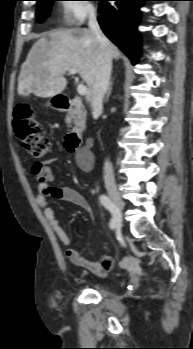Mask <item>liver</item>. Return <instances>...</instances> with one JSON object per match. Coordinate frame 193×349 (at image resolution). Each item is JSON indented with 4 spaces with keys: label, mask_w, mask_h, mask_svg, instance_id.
<instances>
[{
    "label": "liver",
    "mask_w": 193,
    "mask_h": 349,
    "mask_svg": "<svg viewBox=\"0 0 193 349\" xmlns=\"http://www.w3.org/2000/svg\"><path fill=\"white\" fill-rule=\"evenodd\" d=\"M99 48L93 32L85 28L46 32L33 44L21 66L18 94L54 97L67 85L65 73L76 69L88 86L87 100H91ZM110 49L112 58L117 59L118 48L110 42Z\"/></svg>",
    "instance_id": "obj_1"
}]
</instances>
